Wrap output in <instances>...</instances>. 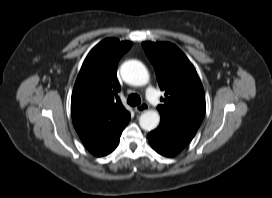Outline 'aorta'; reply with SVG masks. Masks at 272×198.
Listing matches in <instances>:
<instances>
[{"label":"aorta","mask_w":272,"mask_h":198,"mask_svg":"<svg viewBox=\"0 0 272 198\" xmlns=\"http://www.w3.org/2000/svg\"><path fill=\"white\" fill-rule=\"evenodd\" d=\"M121 76L124 81L135 86H143L149 82L148 70L137 60L125 62L121 67ZM159 122L160 115L154 110L144 112L139 118V125L145 131L154 130Z\"/></svg>","instance_id":"762f6f07"}]
</instances>
